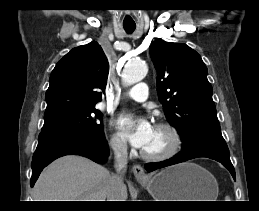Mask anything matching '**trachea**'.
Masks as SVG:
<instances>
[{
  "label": "trachea",
  "mask_w": 259,
  "mask_h": 211,
  "mask_svg": "<svg viewBox=\"0 0 259 211\" xmlns=\"http://www.w3.org/2000/svg\"><path fill=\"white\" fill-rule=\"evenodd\" d=\"M136 26H124V29L127 33H132L135 30Z\"/></svg>",
  "instance_id": "3493384b"
}]
</instances>
